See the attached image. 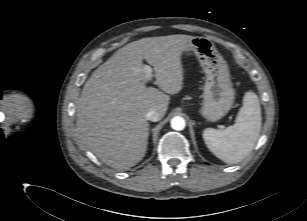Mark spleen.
Wrapping results in <instances>:
<instances>
[{
	"label": "spleen",
	"mask_w": 307,
	"mask_h": 221,
	"mask_svg": "<svg viewBox=\"0 0 307 221\" xmlns=\"http://www.w3.org/2000/svg\"><path fill=\"white\" fill-rule=\"evenodd\" d=\"M262 124L258 96L248 91L243 97L236 123L220 131L207 128L203 139L208 149L219 159L235 164L243 160L253 150L260 134Z\"/></svg>",
	"instance_id": "1"
}]
</instances>
